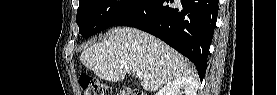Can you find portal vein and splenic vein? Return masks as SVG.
Wrapping results in <instances>:
<instances>
[{"label":"portal vein and splenic vein","mask_w":277,"mask_h":95,"mask_svg":"<svg viewBox=\"0 0 277 95\" xmlns=\"http://www.w3.org/2000/svg\"><path fill=\"white\" fill-rule=\"evenodd\" d=\"M136 76L139 78H142L144 76V74L140 71L136 72Z\"/></svg>","instance_id":"portal-vein-and-splenic-vein-1"}]
</instances>
